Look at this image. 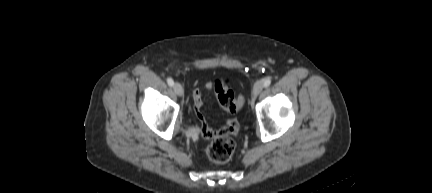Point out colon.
<instances>
[{"label": "colon", "mask_w": 432, "mask_h": 193, "mask_svg": "<svg viewBox=\"0 0 432 193\" xmlns=\"http://www.w3.org/2000/svg\"><path fill=\"white\" fill-rule=\"evenodd\" d=\"M214 91L220 106L230 112H239L244 105V97L236 96L227 80L220 79L214 84ZM235 142L229 136L215 137L206 150L207 159L214 164H223L233 155Z\"/></svg>", "instance_id": "colon-1"}]
</instances>
